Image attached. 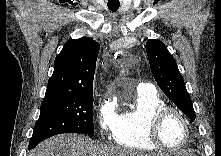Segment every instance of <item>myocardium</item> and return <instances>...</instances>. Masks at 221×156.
Here are the masks:
<instances>
[{"label": "myocardium", "instance_id": "1", "mask_svg": "<svg viewBox=\"0 0 221 156\" xmlns=\"http://www.w3.org/2000/svg\"><path fill=\"white\" fill-rule=\"evenodd\" d=\"M170 113L177 114L184 122L185 129H186L185 139L183 143L178 147H169L161 139L160 132H161L162 124L165 118ZM148 137L151 143L155 145L157 148L162 149L164 151H168V152H178L184 149L191 139V123L188 117L186 116V114L179 108L172 107V106H164L158 111H156L151 117L149 127H148Z\"/></svg>", "mask_w": 221, "mask_h": 156}]
</instances>
